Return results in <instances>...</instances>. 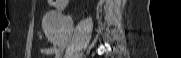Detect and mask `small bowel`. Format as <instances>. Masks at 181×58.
Segmentation results:
<instances>
[{
  "instance_id": "1",
  "label": "small bowel",
  "mask_w": 181,
  "mask_h": 58,
  "mask_svg": "<svg viewBox=\"0 0 181 58\" xmlns=\"http://www.w3.org/2000/svg\"><path fill=\"white\" fill-rule=\"evenodd\" d=\"M51 3L53 5H56V3L54 1H51ZM40 52L42 54H45V55H54L55 58H60L61 57V52H60V49H59L58 46H51V47H48V48H41Z\"/></svg>"
}]
</instances>
